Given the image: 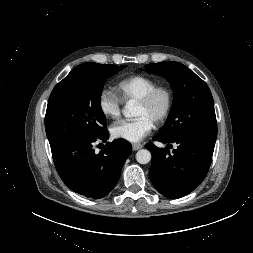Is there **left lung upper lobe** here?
Wrapping results in <instances>:
<instances>
[{
    "mask_svg": "<svg viewBox=\"0 0 253 253\" xmlns=\"http://www.w3.org/2000/svg\"><path fill=\"white\" fill-rule=\"evenodd\" d=\"M145 70L165 77L174 93L169 116L157 135L168 140L187 135L216 140L213 97L201 78L185 65L173 61L147 64Z\"/></svg>",
    "mask_w": 253,
    "mask_h": 253,
    "instance_id": "obj_1",
    "label": "left lung upper lobe"
}]
</instances>
